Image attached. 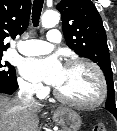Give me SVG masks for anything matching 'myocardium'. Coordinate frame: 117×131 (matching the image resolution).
Segmentation results:
<instances>
[{"label":"myocardium","mask_w":117,"mask_h":131,"mask_svg":"<svg viewBox=\"0 0 117 131\" xmlns=\"http://www.w3.org/2000/svg\"><path fill=\"white\" fill-rule=\"evenodd\" d=\"M74 65H85L89 67L91 70H93V72L95 73L98 79L99 86H100V92H99L98 98L91 103H83V102H79V101L72 100V99L65 97L63 94H61L58 91L57 88L54 89V92H53L54 96L59 101L67 105L80 108V109L91 110V109H95L101 106L104 103L106 96H107V83H106L102 70L100 69V67L97 64L87 59L75 58V59H69L65 62V67L74 66Z\"/></svg>","instance_id":"obj_1"}]
</instances>
